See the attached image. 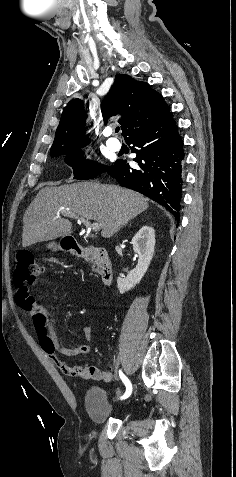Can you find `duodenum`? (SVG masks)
Wrapping results in <instances>:
<instances>
[{"instance_id":"duodenum-1","label":"duodenum","mask_w":236,"mask_h":477,"mask_svg":"<svg viewBox=\"0 0 236 477\" xmlns=\"http://www.w3.org/2000/svg\"><path fill=\"white\" fill-rule=\"evenodd\" d=\"M66 247L81 257L87 254V248L75 240L66 238ZM90 255L97 263L102 284L110 285L113 279V266L106 251L101 247H94L90 250Z\"/></svg>"}]
</instances>
